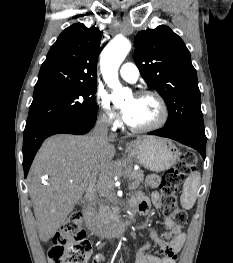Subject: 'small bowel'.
Returning <instances> with one entry per match:
<instances>
[{
  "label": "small bowel",
  "instance_id": "1",
  "mask_svg": "<svg viewBox=\"0 0 233 263\" xmlns=\"http://www.w3.org/2000/svg\"><path fill=\"white\" fill-rule=\"evenodd\" d=\"M145 184L147 188L153 190L151 195L148 197L143 193H138L131 201V203H135L136 210L141 215H146L151 205L157 208L162 205L161 195L158 191L159 177L157 175H149ZM164 224L167 228L165 239L159 237L156 232L151 233L152 242L159 246L162 255L157 256L148 253L151 243H147L137 252L134 263H177L178 253L185 242L186 234L167 217L164 219ZM103 261L104 257L100 254L92 258V263H102Z\"/></svg>",
  "mask_w": 233,
  "mask_h": 263
}]
</instances>
